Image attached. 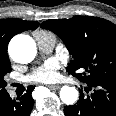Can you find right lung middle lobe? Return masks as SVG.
Segmentation results:
<instances>
[{
  "label": "right lung middle lobe",
  "mask_w": 116,
  "mask_h": 116,
  "mask_svg": "<svg viewBox=\"0 0 116 116\" xmlns=\"http://www.w3.org/2000/svg\"><path fill=\"white\" fill-rule=\"evenodd\" d=\"M11 66L10 60L6 59L0 62V98L4 97L7 94L5 87L7 86V82L4 80V76L7 73H10Z\"/></svg>",
  "instance_id": "obj_1"
}]
</instances>
